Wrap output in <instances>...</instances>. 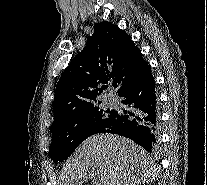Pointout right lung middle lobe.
Here are the masks:
<instances>
[{
	"label": "right lung middle lobe",
	"instance_id": "right-lung-middle-lobe-1",
	"mask_svg": "<svg viewBox=\"0 0 207 185\" xmlns=\"http://www.w3.org/2000/svg\"><path fill=\"white\" fill-rule=\"evenodd\" d=\"M117 118L116 110L96 108L51 128L52 143L49 155L54 162L67 159L85 139L100 133Z\"/></svg>",
	"mask_w": 207,
	"mask_h": 185
}]
</instances>
